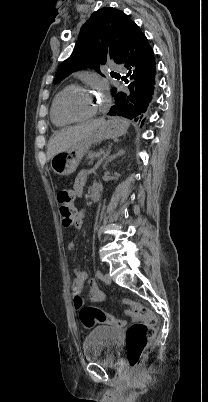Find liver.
Instances as JSON below:
<instances>
[{"label": "liver", "instance_id": "1", "mask_svg": "<svg viewBox=\"0 0 208 402\" xmlns=\"http://www.w3.org/2000/svg\"><path fill=\"white\" fill-rule=\"evenodd\" d=\"M104 122V118H100V120H92V122H87V124L70 126V128H63V130L55 132L53 138L49 140L47 160H51V158L59 154V152H63V150H67V148H71V146H76L78 142L89 138Z\"/></svg>", "mask_w": 208, "mask_h": 402}]
</instances>
